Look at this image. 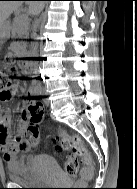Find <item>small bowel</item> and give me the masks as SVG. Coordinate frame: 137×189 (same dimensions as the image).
<instances>
[{
  "label": "small bowel",
  "instance_id": "1",
  "mask_svg": "<svg viewBox=\"0 0 137 189\" xmlns=\"http://www.w3.org/2000/svg\"><path fill=\"white\" fill-rule=\"evenodd\" d=\"M32 93V91H29V94ZM0 101L5 100L0 99ZM24 108L20 115L22 126L19 132L13 136L9 133L12 111L10 109L0 108V150L7 170L18 171L27 166L32 160L31 156H23L24 153L29 151V147L25 146L21 141L22 130L28 123Z\"/></svg>",
  "mask_w": 137,
  "mask_h": 189
}]
</instances>
